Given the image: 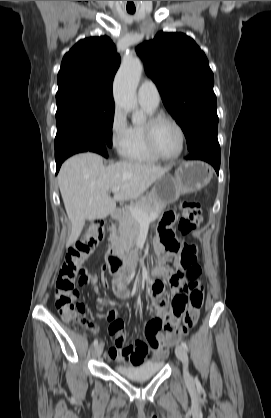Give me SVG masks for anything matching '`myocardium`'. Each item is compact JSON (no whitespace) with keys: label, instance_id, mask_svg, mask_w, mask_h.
I'll list each match as a JSON object with an SVG mask.
<instances>
[{"label":"myocardium","instance_id":"f54148a6","mask_svg":"<svg viewBox=\"0 0 271 418\" xmlns=\"http://www.w3.org/2000/svg\"><path fill=\"white\" fill-rule=\"evenodd\" d=\"M163 121H167V122H170L171 124H173L177 128V130L180 134V140H181L180 149L176 154L171 155V156H167V155L162 154L159 151V149L157 148L156 143H155L156 127L159 123H161ZM144 137H145V141H146L147 147L150 150V152L155 157H157L158 159H161V160H167L168 161V160L177 159L178 157L181 156V154L183 153L184 148H185L186 134H185V131H184L183 127L181 126V124L176 119H174L173 117H171L167 114H164V113H156V114H153L150 117H148V119L144 123Z\"/></svg>","mask_w":271,"mask_h":418}]
</instances>
